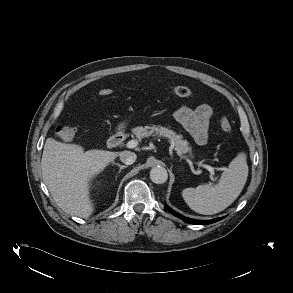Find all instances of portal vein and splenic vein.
<instances>
[{"mask_svg":"<svg viewBox=\"0 0 293 293\" xmlns=\"http://www.w3.org/2000/svg\"><path fill=\"white\" fill-rule=\"evenodd\" d=\"M138 144H139V141L138 140H131V141H128L127 142L126 147L132 149V148H135L136 146H138ZM200 165H202L205 169H207L209 171V173H210V179L212 181H216L214 168L211 167V166H209V165H205V164H201V163H200ZM224 169L225 168H223V170Z\"/></svg>","mask_w":293,"mask_h":293,"instance_id":"18ae733b","label":"portal vein and splenic vein"}]
</instances>
